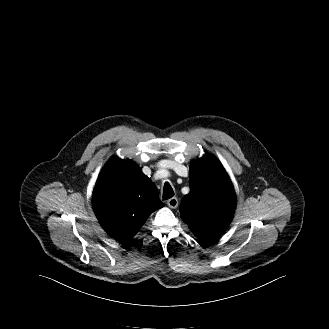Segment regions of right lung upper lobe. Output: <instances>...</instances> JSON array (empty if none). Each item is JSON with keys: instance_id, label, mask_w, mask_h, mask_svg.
Wrapping results in <instances>:
<instances>
[{"instance_id": "cb5924a9", "label": "right lung upper lobe", "mask_w": 329, "mask_h": 329, "mask_svg": "<svg viewBox=\"0 0 329 329\" xmlns=\"http://www.w3.org/2000/svg\"><path fill=\"white\" fill-rule=\"evenodd\" d=\"M92 206L104 230L126 243L149 215L164 205L156 187L138 165L113 157L96 182Z\"/></svg>"}]
</instances>
